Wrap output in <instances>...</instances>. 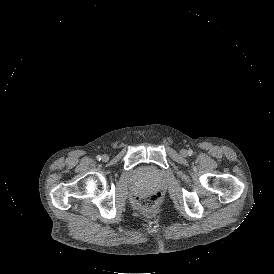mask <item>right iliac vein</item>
I'll return each instance as SVG.
<instances>
[{"instance_id":"obj_1","label":"right iliac vein","mask_w":274,"mask_h":274,"mask_svg":"<svg viewBox=\"0 0 274 274\" xmlns=\"http://www.w3.org/2000/svg\"><path fill=\"white\" fill-rule=\"evenodd\" d=\"M108 160H109V156H108L107 154H104V155L102 156V161L106 162V161H108Z\"/></svg>"}]
</instances>
